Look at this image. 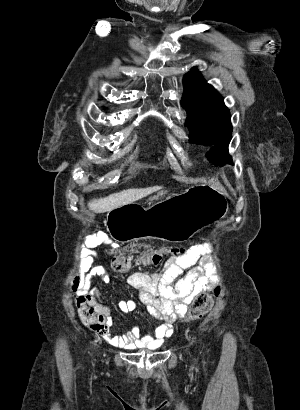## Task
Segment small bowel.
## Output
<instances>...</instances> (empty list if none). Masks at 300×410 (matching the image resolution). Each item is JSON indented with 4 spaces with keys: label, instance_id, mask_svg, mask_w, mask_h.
Instances as JSON below:
<instances>
[{
    "label": "small bowel",
    "instance_id": "small-bowel-1",
    "mask_svg": "<svg viewBox=\"0 0 300 410\" xmlns=\"http://www.w3.org/2000/svg\"><path fill=\"white\" fill-rule=\"evenodd\" d=\"M106 242V235L96 234L83 244L81 267L87 274L74 295L81 322L115 347L156 349L162 346L173 333L172 322L186 312L197 293L209 289L218 279L209 245L195 244L185 254L171 256L162 274L134 272L126 276L127 284L139 291L140 301L148 313L159 321V325L148 334H141L138 327H133L112 335V311L100 300L99 287L92 285L93 277L100 278L103 283L111 279L107 269L95 264L91 254L94 248ZM117 307L121 313H129L136 309V303L133 300H121Z\"/></svg>",
    "mask_w": 300,
    "mask_h": 410
}]
</instances>
